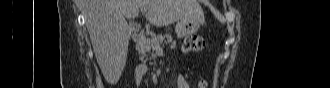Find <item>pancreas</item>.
I'll use <instances>...</instances> for the list:
<instances>
[{
	"label": "pancreas",
	"mask_w": 330,
	"mask_h": 88,
	"mask_svg": "<svg viewBox=\"0 0 330 88\" xmlns=\"http://www.w3.org/2000/svg\"><path fill=\"white\" fill-rule=\"evenodd\" d=\"M171 44V47L176 46V42L173 41L170 33H165L164 35H153L151 38H147L141 43V54L144 57H149L150 59L155 58L154 51L158 46H163L165 44ZM152 50V53H151ZM151 54V55H150ZM150 55V56H149Z\"/></svg>",
	"instance_id": "cf45deb5"
}]
</instances>
